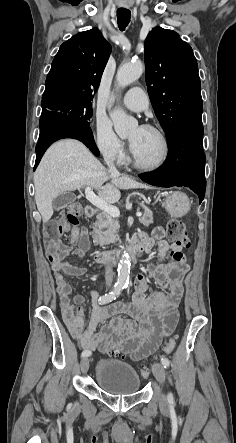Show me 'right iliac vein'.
<instances>
[{"label":"right iliac vein","instance_id":"63e3f726","mask_svg":"<svg viewBox=\"0 0 236 443\" xmlns=\"http://www.w3.org/2000/svg\"><path fill=\"white\" fill-rule=\"evenodd\" d=\"M81 372L86 374L89 369V360L88 358H83L80 363Z\"/></svg>","mask_w":236,"mask_h":443}]
</instances>
